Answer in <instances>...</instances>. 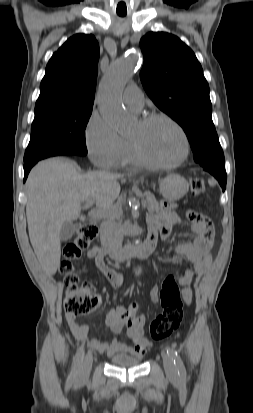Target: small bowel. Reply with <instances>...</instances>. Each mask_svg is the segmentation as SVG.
I'll return each instance as SVG.
<instances>
[{
	"instance_id": "1",
	"label": "small bowel",
	"mask_w": 253,
	"mask_h": 413,
	"mask_svg": "<svg viewBox=\"0 0 253 413\" xmlns=\"http://www.w3.org/2000/svg\"><path fill=\"white\" fill-rule=\"evenodd\" d=\"M188 223L191 232L194 234L192 241L178 243L173 246L172 252L177 257H184L192 263L193 268L188 269L180 278L182 285V297L186 303L192 300V290L190 288L194 278L205 271L212 261V246L214 240V227L212 222L203 214L193 210H187L185 220L174 210V205L162 202L157 214L151 213L147 218L150 233L160 236L162 240L168 241L173 226H181ZM87 257L94 259L96 266L106 277L110 284L117 290L123 285V275L109 267L99 247L94 246L86 253ZM149 299L156 304L159 301V287L153 286L149 291ZM138 306L133 303L129 307L118 305L110 310L106 315V326L113 333L125 331L132 345L113 338L107 342L98 339H89V327L85 323H79L75 316L66 314V320L75 338L88 347L99 353H106L108 356L116 354H132L142 356L150 342L143 335L144 318L137 316Z\"/></svg>"
}]
</instances>
